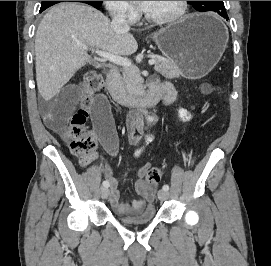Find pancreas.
I'll return each mask as SVG.
<instances>
[{
  "mask_svg": "<svg viewBox=\"0 0 271 266\" xmlns=\"http://www.w3.org/2000/svg\"><path fill=\"white\" fill-rule=\"evenodd\" d=\"M152 59L156 61L154 69L164 77L176 78L180 75V70L174 61L157 55L153 56ZM122 73L123 85L129 93L140 94L143 92V79L138 68L134 66L124 67Z\"/></svg>",
  "mask_w": 271,
  "mask_h": 266,
  "instance_id": "obj_1",
  "label": "pancreas"
}]
</instances>
